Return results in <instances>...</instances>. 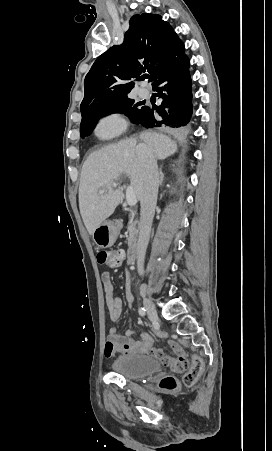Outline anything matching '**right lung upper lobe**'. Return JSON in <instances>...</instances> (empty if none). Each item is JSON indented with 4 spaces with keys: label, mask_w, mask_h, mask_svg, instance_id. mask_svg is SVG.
<instances>
[{
    "label": "right lung upper lobe",
    "mask_w": 272,
    "mask_h": 451,
    "mask_svg": "<svg viewBox=\"0 0 272 451\" xmlns=\"http://www.w3.org/2000/svg\"><path fill=\"white\" fill-rule=\"evenodd\" d=\"M184 44L159 15L144 13L130 19L124 42L100 55L85 77L81 113L95 106L123 98L147 70L153 82L158 73L184 53Z\"/></svg>",
    "instance_id": "cb5924a9"
}]
</instances>
